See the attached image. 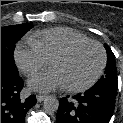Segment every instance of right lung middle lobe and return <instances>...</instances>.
<instances>
[{
    "mask_svg": "<svg viewBox=\"0 0 123 123\" xmlns=\"http://www.w3.org/2000/svg\"><path fill=\"white\" fill-rule=\"evenodd\" d=\"M31 28V23L1 27V68L19 74L13 62L15 43Z\"/></svg>",
    "mask_w": 123,
    "mask_h": 123,
    "instance_id": "1",
    "label": "right lung middle lobe"
}]
</instances>
